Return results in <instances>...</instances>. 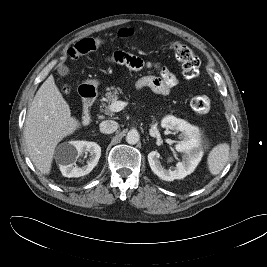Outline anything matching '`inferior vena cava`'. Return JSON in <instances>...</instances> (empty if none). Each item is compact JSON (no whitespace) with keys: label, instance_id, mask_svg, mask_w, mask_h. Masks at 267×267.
<instances>
[{"label":"inferior vena cava","instance_id":"602c4592","mask_svg":"<svg viewBox=\"0 0 267 267\" xmlns=\"http://www.w3.org/2000/svg\"><path fill=\"white\" fill-rule=\"evenodd\" d=\"M118 129V123L113 120H105L100 123V131L105 134H111Z\"/></svg>","mask_w":267,"mask_h":267}]
</instances>
